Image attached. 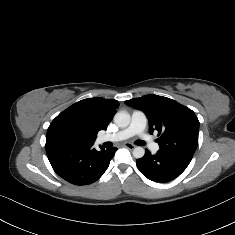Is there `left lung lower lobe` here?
<instances>
[{
    "mask_svg": "<svg viewBox=\"0 0 235 235\" xmlns=\"http://www.w3.org/2000/svg\"><path fill=\"white\" fill-rule=\"evenodd\" d=\"M191 158L159 150L152 155L147 149L145 155L136 160L138 169L150 180L169 182L178 177L189 165Z\"/></svg>",
    "mask_w": 235,
    "mask_h": 235,
    "instance_id": "1",
    "label": "left lung lower lobe"
}]
</instances>
